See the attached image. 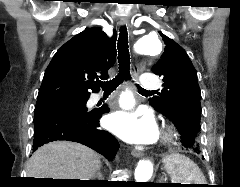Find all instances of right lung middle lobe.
I'll return each instance as SVG.
<instances>
[{"label": "right lung middle lobe", "instance_id": "1", "mask_svg": "<svg viewBox=\"0 0 240 187\" xmlns=\"http://www.w3.org/2000/svg\"><path fill=\"white\" fill-rule=\"evenodd\" d=\"M88 98H72V99H61L53 101L47 104L38 105L35 108V116L43 113L48 109L60 108L68 113L82 114L86 113V103Z\"/></svg>", "mask_w": 240, "mask_h": 187}]
</instances>
